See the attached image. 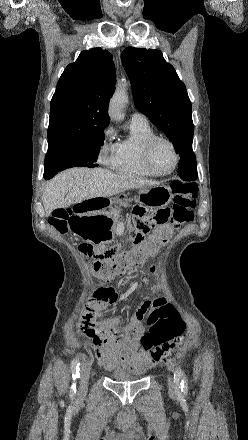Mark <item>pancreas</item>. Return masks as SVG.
I'll return each instance as SVG.
<instances>
[{
  "instance_id": "cf45deb5",
  "label": "pancreas",
  "mask_w": 248,
  "mask_h": 440,
  "mask_svg": "<svg viewBox=\"0 0 248 440\" xmlns=\"http://www.w3.org/2000/svg\"><path fill=\"white\" fill-rule=\"evenodd\" d=\"M131 200H129V202H130ZM120 212H121V209H114L112 212H111V214L113 215V219L115 220V221H117L118 219H119V217H120Z\"/></svg>"
}]
</instances>
